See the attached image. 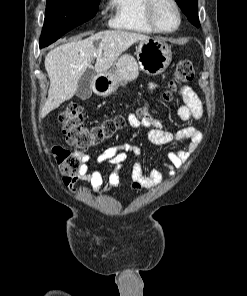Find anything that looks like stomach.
I'll return each instance as SVG.
<instances>
[{
	"label": "stomach",
	"instance_id": "1",
	"mask_svg": "<svg viewBox=\"0 0 247 296\" xmlns=\"http://www.w3.org/2000/svg\"><path fill=\"white\" fill-rule=\"evenodd\" d=\"M136 56L137 59L124 54L115 61L109 71L97 74L94 77L95 92L107 96L119 86L136 79L140 70L147 75H159L172 60L171 47L159 38L140 41L136 47Z\"/></svg>",
	"mask_w": 247,
	"mask_h": 296
}]
</instances>
